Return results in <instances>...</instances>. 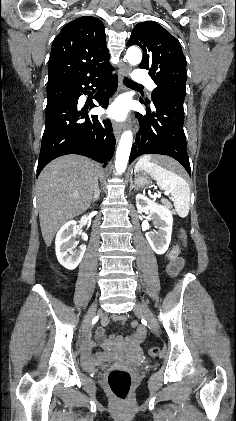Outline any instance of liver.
<instances>
[{
	"label": "liver",
	"mask_w": 236,
	"mask_h": 421,
	"mask_svg": "<svg viewBox=\"0 0 236 421\" xmlns=\"http://www.w3.org/2000/svg\"><path fill=\"white\" fill-rule=\"evenodd\" d=\"M168 164L173 158L153 156ZM98 162L80 154H64L49 162L36 180L42 237L50 247L60 227L87 211L98 184ZM73 194H78L77 198Z\"/></svg>",
	"instance_id": "1"
}]
</instances>
